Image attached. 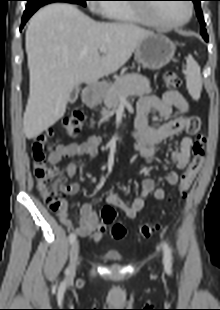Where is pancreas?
Here are the masks:
<instances>
[{
  "mask_svg": "<svg viewBox=\"0 0 220 310\" xmlns=\"http://www.w3.org/2000/svg\"><path fill=\"white\" fill-rule=\"evenodd\" d=\"M151 91L149 80L138 73L126 74L118 77L104 94L106 109H102L101 111V121H106L108 119L110 110L116 109L121 99L134 95L141 96L149 94Z\"/></svg>",
  "mask_w": 220,
  "mask_h": 310,
  "instance_id": "obj_1",
  "label": "pancreas"
}]
</instances>
